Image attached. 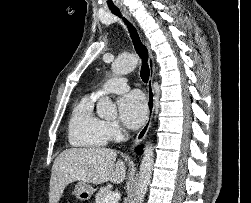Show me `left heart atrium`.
I'll list each match as a JSON object with an SVG mask.
<instances>
[{"instance_id":"39dd6f15","label":"left heart atrium","mask_w":251,"mask_h":203,"mask_svg":"<svg viewBox=\"0 0 251 203\" xmlns=\"http://www.w3.org/2000/svg\"><path fill=\"white\" fill-rule=\"evenodd\" d=\"M118 108L123 122L130 128L140 127L147 117V103L142 93L133 91L122 96Z\"/></svg>"}]
</instances>
